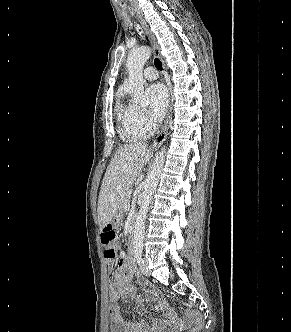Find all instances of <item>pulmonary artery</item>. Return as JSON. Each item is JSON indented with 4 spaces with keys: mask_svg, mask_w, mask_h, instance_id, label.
<instances>
[{
    "mask_svg": "<svg viewBox=\"0 0 291 332\" xmlns=\"http://www.w3.org/2000/svg\"><path fill=\"white\" fill-rule=\"evenodd\" d=\"M143 76L145 79L150 81L156 80L158 78V72L153 67H147L143 72Z\"/></svg>",
    "mask_w": 291,
    "mask_h": 332,
    "instance_id": "obj_1",
    "label": "pulmonary artery"
}]
</instances>
